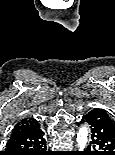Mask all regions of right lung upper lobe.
<instances>
[{
	"mask_svg": "<svg viewBox=\"0 0 115 155\" xmlns=\"http://www.w3.org/2000/svg\"><path fill=\"white\" fill-rule=\"evenodd\" d=\"M40 128L39 123L30 118V119H23L19 123H17L13 129V132L11 134V137L18 136L24 133L31 132L33 130H36Z\"/></svg>",
	"mask_w": 115,
	"mask_h": 155,
	"instance_id": "obj_1",
	"label": "right lung upper lobe"
}]
</instances>
